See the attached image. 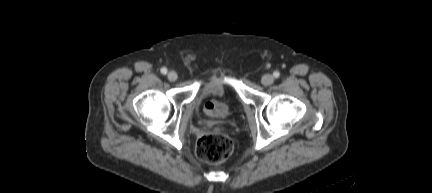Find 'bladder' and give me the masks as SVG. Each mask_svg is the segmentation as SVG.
Returning a JSON list of instances; mask_svg holds the SVG:
<instances>
[{
	"label": "bladder",
	"instance_id": "31cf9c89",
	"mask_svg": "<svg viewBox=\"0 0 432 193\" xmlns=\"http://www.w3.org/2000/svg\"><path fill=\"white\" fill-rule=\"evenodd\" d=\"M213 98L220 99L224 101L225 105H229L225 88L218 84L204 86L194 102L197 106H202L206 101Z\"/></svg>",
	"mask_w": 432,
	"mask_h": 193
}]
</instances>
